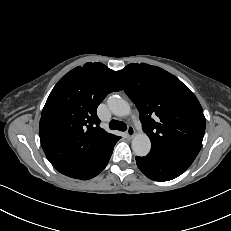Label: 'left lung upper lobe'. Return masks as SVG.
Returning <instances> with one entry per match:
<instances>
[{"mask_svg": "<svg viewBox=\"0 0 231 231\" xmlns=\"http://www.w3.org/2000/svg\"><path fill=\"white\" fill-rule=\"evenodd\" d=\"M140 113L151 149L196 158L206 120L196 96L177 77L146 63L116 72Z\"/></svg>", "mask_w": 231, "mask_h": 231, "instance_id": "5c2ea615", "label": "left lung upper lobe"}]
</instances>
